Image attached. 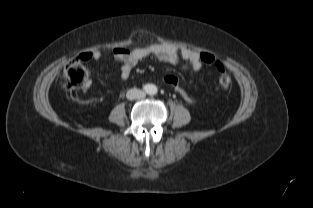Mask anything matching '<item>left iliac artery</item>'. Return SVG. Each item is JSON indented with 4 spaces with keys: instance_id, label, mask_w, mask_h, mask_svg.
Segmentation results:
<instances>
[{
    "instance_id": "1",
    "label": "left iliac artery",
    "mask_w": 313,
    "mask_h": 208,
    "mask_svg": "<svg viewBox=\"0 0 313 208\" xmlns=\"http://www.w3.org/2000/svg\"><path fill=\"white\" fill-rule=\"evenodd\" d=\"M151 93L152 94H156L157 93V89L155 87H153Z\"/></svg>"
}]
</instances>
